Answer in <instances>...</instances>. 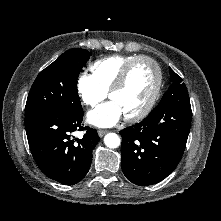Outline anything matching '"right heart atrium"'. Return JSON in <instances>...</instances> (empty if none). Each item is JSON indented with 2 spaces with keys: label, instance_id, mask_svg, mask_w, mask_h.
I'll use <instances>...</instances> for the list:
<instances>
[{
  "label": "right heart atrium",
  "instance_id": "d8ad5b80",
  "mask_svg": "<svg viewBox=\"0 0 221 221\" xmlns=\"http://www.w3.org/2000/svg\"><path fill=\"white\" fill-rule=\"evenodd\" d=\"M77 92L82 103L89 107L97 106L106 97V93L100 89L93 77L86 73H82L77 80Z\"/></svg>",
  "mask_w": 221,
  "mask_h": 221
}]
</instances>
